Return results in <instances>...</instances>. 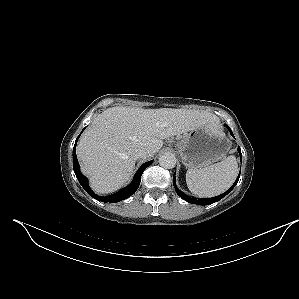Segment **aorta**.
Returning a JSON list of instances; mask_svg holds the SVG:
<instances>
[{
    "label": "aorta",
    "mask_w": 299,
    "mask_h": 299,
    "mask_svg": "<svg viewBox=\"0 0 299 299\" xmlns=\"http://www.w3.org/2000/svg\"><path fill=\"white\" fill-rule=\"evenodd\" d=\"M159 164L166 169L174 168L176 165V157L173 153L166 152L159 157Z\"/></svg>",
    "instance_id": "aorta-1"
}]
</instances>
